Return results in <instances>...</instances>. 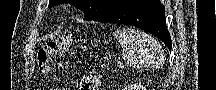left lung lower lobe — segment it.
Masks as SVG:
<instances>
[{
  "instance_id": "1",
  "label": "left lung lower lobe",
  "mask_w": 216,
  "mask_h": 90,
  "mask_svg": "<svg viewBox=\"0 0 216 90\" xmlns=\"http://www.w3.org/2000/svg\"><path fill=\"white\" fill-rule=\"evenodd\" d=\"M94 21L138 27L159 38L171 50L172 42L166 26L165 8L159 0H127L101 14Z\"/></svg>"
}]
</instances>
